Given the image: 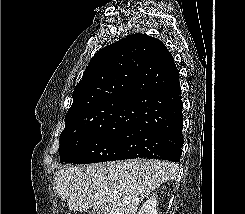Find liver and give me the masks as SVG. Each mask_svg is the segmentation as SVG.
Returning a JSON list of instances; mask_svg holds the SVG:
<instances>
[{
    "instance_id": "obj_1",
    "label": "liver",
    "mask_w": 245,
    "mask_h": 214,
    "mask_svg": "<svg viewBox=\"0 0 245 214\" xmlns=\"http://www.w3.org/2000/svg\"><path fill=\"white\" fill-rule=\"evenodd\" d=\"M177 170L170 162L140 159L67 167L57 173L56 193L70 211L136 214L140 202Z\"/></svg>"
}]
</instances>
